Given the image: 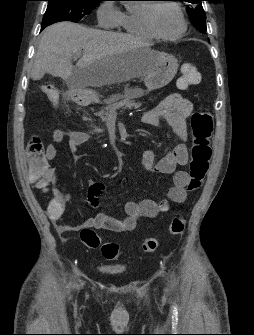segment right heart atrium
<instances>
[{
	"mask_svg": "<svg viewBox=\"0 0 254 335\" xmlns=\"http://www.w3.org/2000/svg\"><path fill=\"white\" fill-rule=\"evenodd\" d=\"M121 16V10L112 1H104L97 9L99 25L104 28L118 26Z\"/></svg>",
	"mask_w": 254,
	"mask_h": 335,
	"instance_id": "1",
	"label": "right heart atrium"
}]
</instances>
